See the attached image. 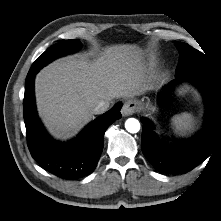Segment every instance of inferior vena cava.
<instances>
[{"label": "inferior vena cava", "instance_id": "obj_1", "mask_svg": "<svg viewBox=\"0 0 221 221\" xmlns=\"http://www.w3.org/2000/svg\"><path fill=\"white\" fill-rule=\"evenodd\" d=\"M110 103L108 101H100L93 109L94 114H102L108 110Z\"/></svg>", "mask_w": 221, "mask_h": 221}]
</instances>
